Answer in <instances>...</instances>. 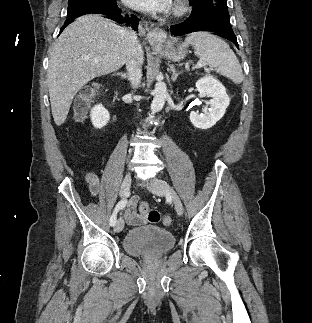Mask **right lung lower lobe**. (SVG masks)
Wrapping results in <instances>:
<instances>
[{"label":"right lung lower lobe","instance_id":"98d812e1","mask_svg":"<svg viewBox=\"0 0 312 323\" xmlns=\"http://www.w3.org/2000/svg\"><path fill=\"white\" fill-rule=\"evenodd\" d=\"M90 13L104 14V15H106L107 18L113 19L120 24L125 22L127 25H131V27L135 30L137 29V26H138V18L135 15H131V17L126 15L125 17H123V16H121V12L118 9V7H115V8H92V9H84V11L80 12V13H72V14L68 15L67 19L65 20V24L61 28V32L67 25H69L71 22H73L75 18H77L81 15L90 14Z\"/></svg>","mask_w":312,"mask_h":323}]
</instances>
